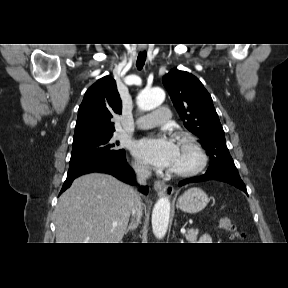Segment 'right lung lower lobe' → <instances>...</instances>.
Wrapping results in <instances>:
<instances>
[{
	"mask_svg": "<svg viewBox=\"0 0 288 288\" xmlns=\"http://www.w3.org/2000/svg\"><path fill=\"white\" fill-rule=\"evenodd\" d=\"M91 172L108 173L124 182L135 184L132 168L127 164L125 156L121 158L94 156L70 163L67 178L63 184L60 194L70 187L71 183L76 177ZM141 192L147 194L148 187L142 186Z\"/></svg>",
	"mask_w": 288,
	"mask_h": 288,
	"instance_id": "right-lung-lower-lobe-1",
	"label": "right lung lower lobe"
}]
</instances>
